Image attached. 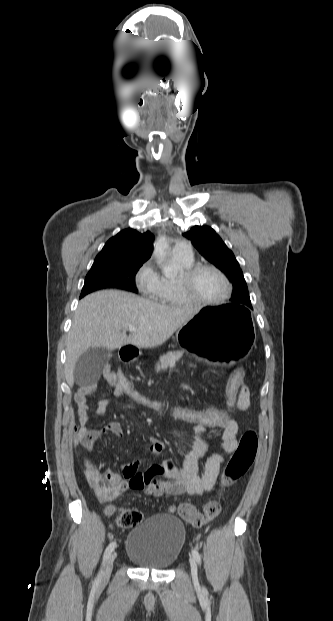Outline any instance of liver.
I'll return each instance as SVG.
<instances>
[{
  "mask_svg": "<svg viewBox=\"0 0 333 621\" xmlns=\"http://www.w3.org/2000/svg\"><path fill=\"white\" fill-rule=\"evenodd\" d=\"M196 315L187 308L166 306L133 293L104 290L83 298L75 311L66 340L65 378L74 384V367L90 348L119 349L131 344L154 348ZM130 326L137 331L127 336Z\"/></svg>",
  "mask_w": 333,
  "mask_h": 621,
  "instance_id": "1",
  "label": "liver"
}]
</instances>
